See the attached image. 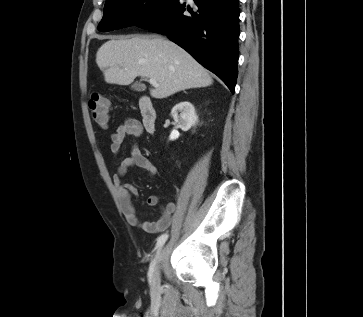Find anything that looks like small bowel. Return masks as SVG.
<instances>
[{"label": "small bowel", "instance_id": "small-bowel-1", "mask_svg": "<svg viewBox=\"0 0 363 317\" xmlns=\"http://www.w3.org/2000/svg\"><path fill=\"white\" fill-rule=\"evenodd\" d=\"M143 132V125L139 121L135 119H127L111 135V152L113 154L120 152L126 136H132L135 139H139L143 135ZM134 166L146 171L150 177H155L157 175L156 166L140 150L138 145L134 144L132 146L130 155L121 161L117 172L113 175V183L118 193L123 214L126 220L133 226L141 227L151 233L164 231L170 226L177 206L175 203L170 202L161 208V214L157 221L141 222L132 203V196L138 194L137 187L129 183H121V178L125 176L129 168ZM158 203L159 198L156 195H150L147 198V205L150 207L156 206Z\"/></svg>", "mask_w": 363, "mask_h": 317}]
</instances>
